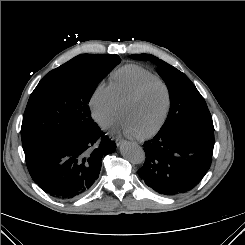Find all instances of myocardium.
Wrapping results in <instances>:
<instances>
[{"instance_id":"f54148a6","label":"myocardium","mask_w":245,"mask_h":245,"mask_svg":"<svg viewBox=\"0 0 245 245\" xmlns=\"http://www.w3.org/2000/svg\"><path fill=\"white\" fill-rule=\"evenodd\" d=\"M151 83H158L163 87L165 91L166 102H165L163 114L161 118L159 119V121L157 122V124L154 127H152L150 130L144 133L138 134L137 137L140 139H145V138H148L154 135L164 125L168 117L170 107H171V92H170L169 86L164 80H162L161 78L157 76L145 79L132 92H130L119 104V111L121 112L124 105L138 98L139 95L142 93V91Z\"/></svg>"}]
</instances>
